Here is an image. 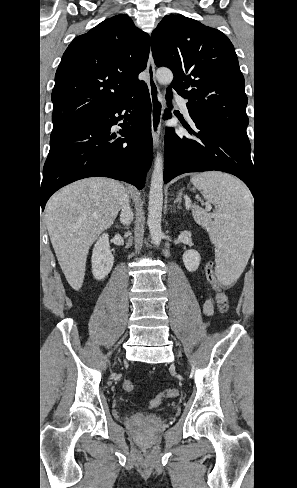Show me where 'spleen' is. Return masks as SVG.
<instances>
[{"instance_id":"1","label":"spleen","mask_w":297,"mask_h":488,"mask_svg":"<svg viewBox=\"0 0 297 488\" xmlns=\"http://www.w3.org/2000/svg\"><path fill=\"white\" fill-rule=\"evenodd\" d=\"M191 182L215 206L210 216L194 205L193 217L217 248L219 279L231 282L243 272L252 250V197L238 179L221 172L200 173Z\"/></svg>"}]
</instances>
